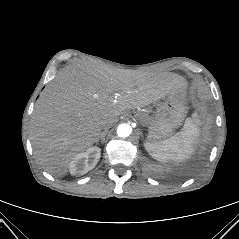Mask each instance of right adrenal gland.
I'll return each mask as SVG.
<instances>
[{"instance_id":"1","label":"right adrenal gland","mask_w":239,"mask_h":239,"mask_svg":"<svg viewBox=\"0 0 239 239\" xmlns=\"http://www.w3.org/2000/svg\"><path fill=\"white\" fill-rule=\"evenodd\" d=\"M106 134H107V131L102 132L100 138L96 141V143H98L99 140H101V142L104 143Z\"/></svg>"}]
</instances>
